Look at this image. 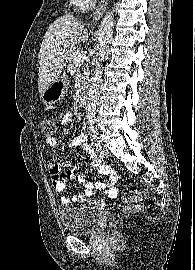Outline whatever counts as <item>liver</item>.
I'll use <instances>...</instances> for the list:
<instances>
[{
  "instance_id": "obj_1",
  "label": "liver",
  "mask_w": 195,
  "mask_h": 270,
  "mask_svg": "<svg viewBox=\"0 0 195 270\" xmlns=\"http://www.w3.org/2000/svg\"><path fill=\"white\" fill-rule=\"evenodd\" d=\"M87 39L84 23L71 15L61 16L49 26L39 51L40 94L60 76L70 55Z\"/></svg>"
}]
</instances>
